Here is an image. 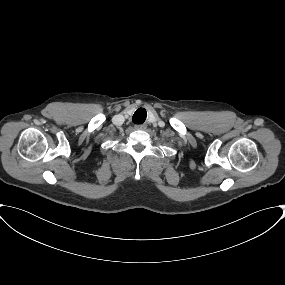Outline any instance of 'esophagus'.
Masks as SVG:
<instances>
[{
    "label": "esophagus",
    "instance_id": "34e87169",
    "mask_svg": "<svg viewBox=\"0 0 285 285\" xmlns=\"http://www.w3.org/2000/svg\"><path fill=\"white\" fill-rule=\"evenodd\" d=\"M135 129L136 130H145L146 129V125L145 124L135 125Z\"/></svg>",
    "mask_w": 285,
    "mask_h": 285
}]
</instances>
